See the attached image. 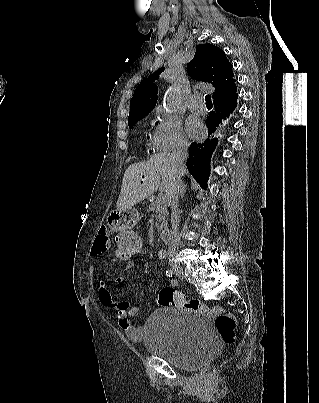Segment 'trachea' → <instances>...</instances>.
I'll return each instance as SVG.
<instances>
[{
    "label": "trachea",
    "mask_w": 319,
    "mask_h": 403,
    "mask_svg": "<svg viewBox=\"0 0 319 403\" xmlns=\"http://www.w3.org/2000/svg\"><path fill=\"white\" fill-rule=\"evenodd\" d=\"M205 101H206V105H212L211 96L209 94H207L205 96Z\"/></svg>",
    "instance_id": "trachea-1"
}]
</instances>
